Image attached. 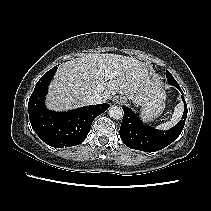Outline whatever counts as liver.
I'll return each mask as SVG.
<instances>
[{
	"label": "liver",
	"instance_id": "liver-1",
	"mask_svg": "<svg viewBox=\"0 0 211 211\" xmlns=\"http://www.w3.org/2000/svg\"><path fill=\"white\" fill-rule=\"evenodd\" d=\"M116 93L140 106L165 95L162 82L143 62L94 53L62 64L49 86L46 106L54 111L75 109L87 104V96L99 94L107 101Z\"/></svg>",
	"mask_w": 211,
	"mask_h": 211
}]
</instances>
